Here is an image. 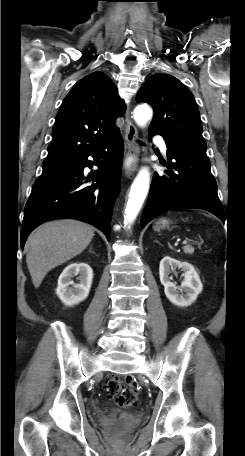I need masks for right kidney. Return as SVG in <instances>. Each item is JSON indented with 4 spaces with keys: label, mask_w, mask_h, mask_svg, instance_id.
Wrapping results in <instances>:
<instances>
[{
    "label": "right kidney",
    "mask_w": 245,
    "mask_h": 456,
    "mask_svg": "<svg viewBox=\"0 0 245 456\" xmlns=\"http://www.w3.org/2000/svg\"><path fill=\"white\" fill-rule=\"evenodd\" d=\"M77 275L79 282L74 283L72 278ZM92 279L93 270L87 263H71L59 276L56 294L67 306L79 304L89 295Z\"/></svg>",
    "instance_id": "ca27d5eb"
}]
</instances>
